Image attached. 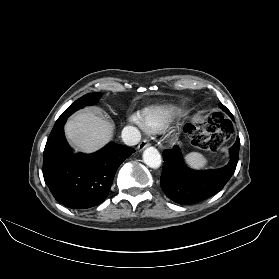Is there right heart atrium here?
<instances>
[{
	"label": "right heart atrium",
	"mask_w": 279,
	"mask_h": 279,
	"mask_svg": "<svg viewBox=\"0 0 279 279\" xmlns=\"http://www.w3.org/2000/svg\"><path fill=\"white\" fill-rule=\"evenodd\" d=\"M132 120H133L134 122H137V119H136V118H133Z\"/></svg>",
	"instance_id": "d8ad5b80"
}]
</instances>
